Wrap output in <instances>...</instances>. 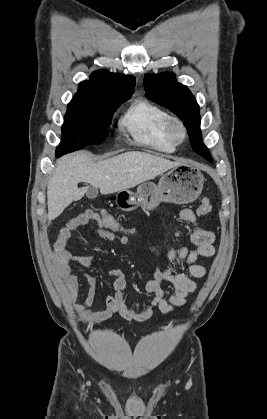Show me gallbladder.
<instances>
[{"label": "gallbladder", "mask_w": 267, "mask_h": 419, "mask_svg": "<svg viewBox=\"0 0 267 419\" xmlns=\"http://www.w3.org/2000/svg\"><path fill=\"white\" fill-rule=\"evenodd\" d=\"M86 195L90 199H94L98 195V189L95 187L86 188Z\"/></svg>", "instance_id": "gallbladder-1"}]
</instances>
